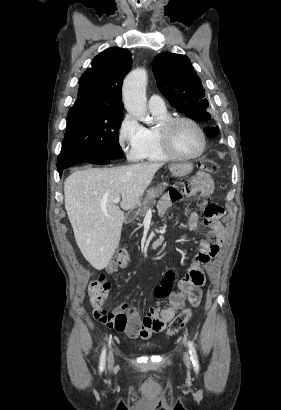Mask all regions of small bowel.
<instances>
[{
    "label": "small bowel",
    "mask_w": 281,
    "mask_h": 410,
    "mask_svg": "<svg viewBox=\"0 0 281 410\" xmlns=\"http://www.w3.org/2000/svg\"><path fill=\"white\" fill-rule=\"evenodd\" d=\"M214 189L212 178L198 172L192 179V192H198L201 195L211 196ZM172 201L168 194L162 196L158 203V212L163 216L171 207ZM221 216H207L201 220L199 216L192 212L188 217V224L193 230H199L202 227L208 228L207 239L201 243V251L196 255L192 262L186 277L177 284L178 291L173 292L172 288L175 281V271L168 270L161 282L154 289V296L157 299H168V306L161 311L156 307H151L148 314L141 320L134 311H128V305L125 303L117 307L116 314H123L128 317V326L120 332L125 333L129 338L148 339L153 333L161 332L166 323L172 320L176 312L183 307L185 301L189 299L193 303L200 300V287L205 283L203 266L207 265L212 259L216 258L221 250L225 237V230L220 221ZM118 265L109 263L106 266L108 274L116 273Z\"/></svg>",
    "instance_id": "1"
}]
</instances>
